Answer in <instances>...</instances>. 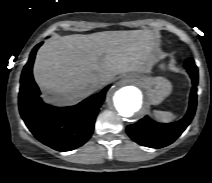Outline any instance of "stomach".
<instances>
[{
	"label": "stomach",
	"instance_id": "0dacf381",
	"mask_svg": "<svg viewBox=\"0 0 212 183\" xmlns=\"http://www.w3.org/2000/svg\"><path fill=\"white\" fill-rule=\"evenodd\" d=\"M160 67L163 69L164 65ZM132 77L146 90L147 99L153 105L161 103L171 93L172 85L163 77H149L141 73H134Z\"/></svg>",
	"mask_w": 212,
	"mask_h": 183
}]
</instances>
